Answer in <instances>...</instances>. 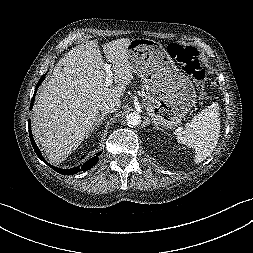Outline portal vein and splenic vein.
<instances>
[{
	"mask_svg": "<svg viewBox=\"0 0 253 253\" xmlns=\"http://www.w3.org/2000/svg\"><path fill=\"white\" fill-rule=\"evenodd\" d=\"M105 70H106V78L104 81V86L108 87L110 86L111 82H112V76H113V72L111 70V65L110 64H105Z\"/></svg>",
	"mask_w": 253,
	"mask_h": 253,
	"instance_id": "portal-vein-and-splenic-vein-1",
	"label": "portal vein and splenic vein"
}]
</instances>
